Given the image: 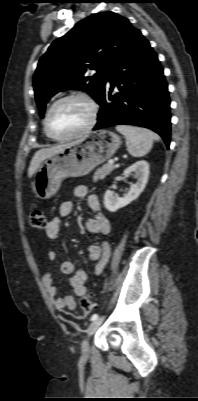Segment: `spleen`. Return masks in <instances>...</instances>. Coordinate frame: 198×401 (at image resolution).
Segmentation results:
<instances>
[{
  "label": "spleen",
  "mask_w": 198,
  "mask_h": 401,
  "mask_svg": "<svg viewBox=\"0 0 198 401\" xmlns=\"http://www.w3.org/2000/svg\"><path fill=\"white\" fill-rule=\"evenodd\" d=\"M116 130L125 136L127 150L133 157L145 156L153 142L160 140L157 134L141 127L118 125Z\"/></svg>",
  "instance_id": "obj_1"
}]
</instances>
